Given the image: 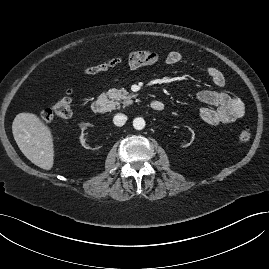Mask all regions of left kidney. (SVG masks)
<instances>
[{"label":"left kidney","instance_id":"5707ae66","mask_svg":"<svg viewBox=\"0 0 269 269\" xmlns=\"http://www.w3.org/2000/svg\"><path fill=\"white\" fill-rule=\"evenodd\" d=\"M187 129H188V131H189V133H187V135H190L191 136V141H190V143H186V144H184V147H187V146H189L191 143H192V141L194 140V137H195V133H194V131L190 128V127H188V126H185Z\"/></svg>","mask_w":269,"mask_h":269}]
</instances>
